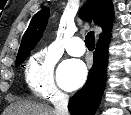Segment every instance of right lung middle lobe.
I'll use <instances>...</instances> for the list:
<instances>
[{
	"label": "right lung middle lobe",
	"mask_w": 131,
	"mask_h": 115,
	"mask_svg": "<svg viewBox=\"0 0 131 115\" xmlns=\"http://www.w3.org/2000/svg\"><path fill=\"white\" fill-rule=\"evenodd\" d=\"M32 49L27 50L26 52H24L22 55L18 56L16 58V63H15V67H18L21 65V63L28 57V55L30 54V51Z\"/></svg>",
	"instance_id": "1"
}]
</instances>
